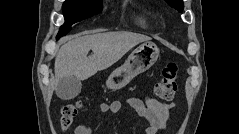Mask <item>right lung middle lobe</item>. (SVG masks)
Returning a JSON list of instances; mask_svg holds the SVG:
<instances>
[{
  "label": "right lung middle lobe",
  "mask_w": 239,
  "mask_h": 134,
  "mask_svg": "<svg viewBox=\"0 0 239 134\" xmlns=\"http://www.w3.org/2000/svg\"><path fill=\"white\" fill-rule=\"evenodd\" d=\"M65 23L61 26L56 39L66 35L71 25L93 16L102 10L101 0H66L62 6Z\"/></svg>",
  "instance_id": "1"
}]
</instances>
